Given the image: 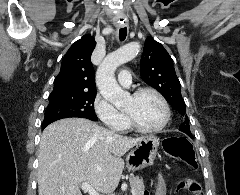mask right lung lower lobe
Here are the masks:
<instances>
[{
	"mask_svg": "<svg viewBox=\"0 0 240 195\" xmlns=\"http://www.w3.org/2000/svg\"><path fill=\"white\" fill-rule=\"evenodd\" d=\"M45 127H46V126H42V130H44Z\"/></svg>",
	"mask_w": 240,
	"mask_h": 195,
	"instance_id": "98d812e1",
	"label": "right lung lower lobe"
}]
</instances>
